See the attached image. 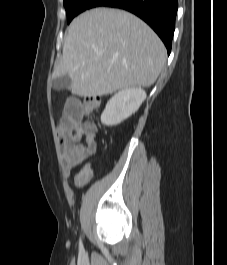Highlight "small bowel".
I'll return each mask as SVG.
<instances>
[{
    "label": "small bowel",
    "instance_id": "obj_1",
    "mask_svg": "<svg viewBox=\"0 0 227 265\" xmlns=\"http://www.w3.org/2000/svg\"><path fill=\"white\" fill-rule=\"evenodd\" d=\"M63 111V127L61 144L65 161V170L71 173L73 169L82 165L88 158L97 153V127L93 122L82 121L84 113L83 102L77 96L65 99ZM82 136L86 137V144L80 143ZM92 177V169L86 164L75 175L73 183L76 188L83 187Z\"/></svg>",
    "mask_w": 227,
    "mask_h": 265
}]
</instances>
